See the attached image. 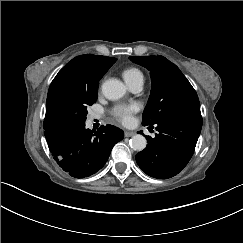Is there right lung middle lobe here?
<instances>
[{"mask_svg": "<svg viewBox=\"0 0 243 243\" xmlns=\"http://www.w3.org/2000/svg\"><path fill=\"white\" fill-rule=\"evenodd\" d=\"M99 83L79 80L59 85L46 104L44 125L54 127L71 122H85L87 107L97 100Z\"/></svg>", "mask_w": 243, "mask_h": 243, "instance_id": "right-lung-middle-lobe-1", "label": "right lung middle lobe"}]
</instances>
